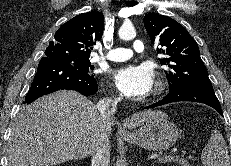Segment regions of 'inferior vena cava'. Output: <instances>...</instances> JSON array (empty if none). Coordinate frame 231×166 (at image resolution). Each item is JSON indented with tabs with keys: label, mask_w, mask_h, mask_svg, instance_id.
I'll use <instances>...</instances> for the list:
<instances>
[{
	"label": "inferior vena cava",
	"mask_w": 231,
	"mask_h": 166,
	"mask_svg": "<svg viewBox=\"0 0 231 166\" xmlns=\"http://www.w3.org/2000/svg\"><path fill=\"white\" fill-rule=\"evenodd\" d=\"M118 100V98H104L97 103L96 108L103 119L110 120L113 117ZM91 166H110V146L108 142L100 146L93 154Z\"/></svg>",
	"instance_id": "602c4592"
}]
</instances>
